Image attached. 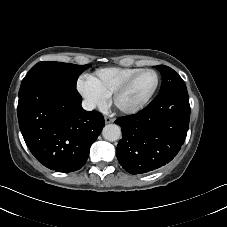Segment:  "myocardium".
Listing matches in <instances>:
<instances>
[{"mask_svg":"<svg viewBox=\"0 0 227 227\" xmlns=\"http://www.w3.org/2000/svg\"><path fill=\"white\" fill-rule=\"evenodd\" d=\"M146 72H151L156 77L155 85H154L153 89L151 90V92L149 93V95L140 104H138L135 107H132V108L120 107L118 104L119 98L130 88V86L132 85L134 80L139 75L146 73ZM159 84H160V77H159V74L157 73V71L150 69V68L141 69L138 72H136L135 74H133L132 76H130L126 81H124L120 86H118L115 89V91L112 93V102H113L114 106L122 113H125V114L138 113L141 110H143L150 103V101L152 100V98L154 97L155 93L158 90Z\"/></svg>","mask_w":227,"mask_h":227,"instance_id":"1","label":"myocardium"}]
</instances>
